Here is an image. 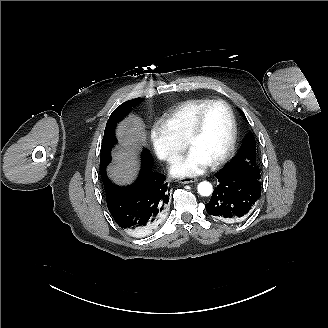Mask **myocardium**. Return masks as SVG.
Instances as JSON below:
<instances>
[{"label": "myocardium", "mask_w": 328, "mask_h": 328, "mask_svg": "<svg viewBox=\"0 0 328 328\" xmlns=\"http://www.w3.org/2000/svg\"><path fill=\"white\" fill-rule=\"evenodd\" d=\"M217 105H222V106L226 107L229 112V115L231 118V123H232V136H231L230 143H229L225 153L210 164L212 167H219L222 164L226 163L233 156V154L235 153L236 147H237L238 134H239L238 123H237L235 111L229 102L222 100V99H216V100H211L208 104H206L196 115L194 122L191 125L190 129L188 130L185 140H184V146L188 147V144L194 138H196V136L200 133L208 111L212 107L217 106Z\"/></svg>", "instance_id": "f54148a6"}]
</instances>
